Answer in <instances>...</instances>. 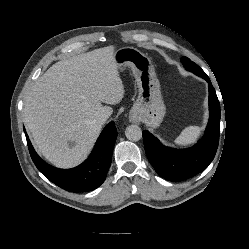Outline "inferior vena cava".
Listing matches in <instances>:
<instances>
[{
    "instance_id": "602c4592",
    "label": "inferior vena cava",
    "mask_w": 249,
    "mask_h": 249,
    "mask_svg": "<svg viewBox=\"0 0 249 249\" xmlns=\"http://www.w3.org/2000/svg\"><path fill=\"white\" fill-rule=\"evenodd\" d=\"M108 118L109 115L107 113H102L98 116V121L103 124Z\"/></svg>"
}]
</instances>
